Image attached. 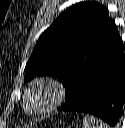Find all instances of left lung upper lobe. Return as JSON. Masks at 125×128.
<instances>
[{
	"mask_svg": "<svg viewBox=\"0 0 125 128\" xmlns=\"http://www.w3.org/2000/svg\"><path fill=\"white\" fill-rule=\"evenodd\" d=\"M119 39L103 5L77 3L39 37L25 67V82L36 76L56 77L66 90L65 107L75 100L88 72Z\"/></svg>",
	"mask_w": 125,
	"mask_h": 128,
	"instance_id": "5c2ea615",
	"label": "left lung upper lobe"
}]
</instances>
